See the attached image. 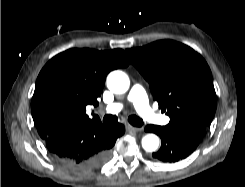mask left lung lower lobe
I'll return each mask as SVG.
<instances>
[{
  "mask_svg": "<svg viewBox=\"0 0 245 187\" xmlns=\"http://www.w3.org/2000/svg\"><path fill=\"white\" fill-rule=\"evenodd\" d=\"M206 127L204 126H166L147 125L146 132H153L161 138V148L152 154L163 162H177L189 156L199 145Z\"/></svg>",
  "mask_w": 245,
  "mask_h": 187,
  "instance_id": "obj_1",
  "label": "left lung lower lobe"
}]
</instances>
